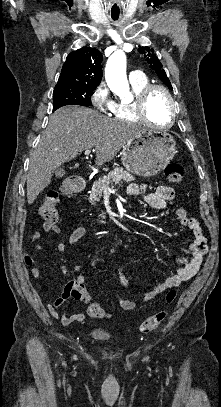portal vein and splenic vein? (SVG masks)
Returning a JSON list of instances; mask_svg holds the SVG:
<instances>
[{
  "instance_id": "1",
  "label": "portal vein and splenic vein",
  "mask_w": 221,
  "mask_h": 407,
  "mask_svg": "<svg viewBox=\"0 0 221 407\" xmlns=\"http://www.w3.org/2000/svg\"><path fill=\"white\" fill-rule=\"evenodd\" d=\"M90 152H91V150H89V149H88V150H85V155H89ZM104 188H105V189H109V186L106 185Z\"/></svg>"
}]
</instances>
